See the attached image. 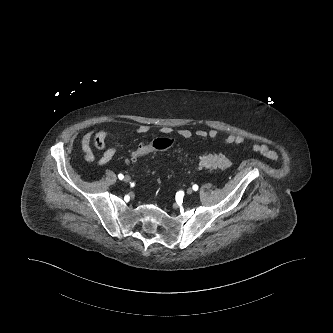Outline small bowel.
Instances as JSON below:
<instances>
[{"mask_svg": "<svg viewBox=\"0 0 333 333\" xmlns=\"http://www.w3.org/2000/svg\"><path fill=\"white\" fill-rule=\"evenodd\" d=\"M122 129H123L122 126L116 127V129L114 130L115 134L120 133ZM148 131L149 127L144 124L137 126L134 130V132L139 135L146 134ZM109 133L110 130L108 128H99V129H94L83 136L81 140V147L84 152L85 161L91 162L94 160V153L91 148V142L93 138L96 136L105 138ZM161 133L163 137L159 138H170V136L173 133H175L178 137L185 140H189L193 136H196L201 139H211V140L220 139L226 145H241L245 141V138L243 136L233 133L227 134L226 136L220 138L219 131L217 129H209V130L197 129L195 131H192L191 129L188 128H180L174 130L171 127L166 126L161 129ZM253 150L265 155L266 157L272 160H276L279 157L275 151H273L268 145L265 144H254ZM115 154H116V145L111 144L109 147H107V149L98 159V165L104 166L108 164L114 158Z\"/></svg>", "mask_w": 333, "mask_h": 333, "instance_id": "small-bowel-1", "label": "small bowel"}]
</instances>
